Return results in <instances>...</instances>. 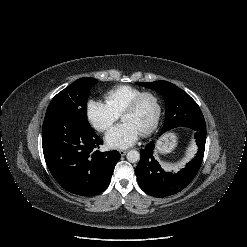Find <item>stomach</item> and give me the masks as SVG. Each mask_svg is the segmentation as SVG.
<instances>
[{"label":"stomach","instance_id":"1","mask_svg":"<svg viewBox=\"0 0 247 247\" xmlns=\"http://www.w3.org/2000/svg\"><path fill=\"white\" fill-rule=\"evenodd\" d=\"M177 137L173 133H167L157 142V150L160 153H168L176 146Z\"/></svg>","mask_w":247,"mask_h":247}]
</instances>
